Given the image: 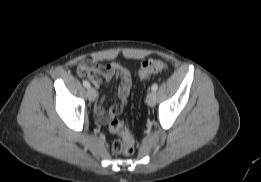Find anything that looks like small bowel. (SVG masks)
<instances>
[{
	"label": "small bowel",
	"instance_id": "c3829d8e",
	"mask_svg": "<svg viewBox=\"0 0 261 182\" xmlns=\"http://www.w3.org/2000/svg\"><path fill=\"white\" fill-rule=\"evenodd\" d=\"M79 66H86L89 69V74L82 75L87 78L95 88H99L102 84V80L113 81L120 80V85L117 91V97L119 102L113 105L108 111L104 109L105 96H102L95 104V114L99 121L108 122L110 119L119 115L127 105L128 97L133 85V78L131 72L120 65L117 62H109L107 64H101L91 60L83 61Z\"/></svg>",
	"mask_w": 261,
	"mask_h": 182
}]
</instances>
